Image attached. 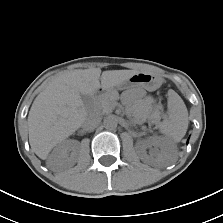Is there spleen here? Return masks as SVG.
I'll return each instance as SVG.
<instances>
[{
  "mask_svg": "<svg viewBox=\"0 0 223 223\" xmlns=\"http://www.w3.org/2000/svg\"><path fill=\"white\" fill-rule=\"evenodd\" d=\"M170 110V132L176 139H181L188 127V111L181 97L174 91H170L168 99Z\"/></svg>",
  "mask_w": 223,
  "mask_h": 223,
  "instance_id": "3e777b00",
  "label": "spleen"
}]
</instances>
